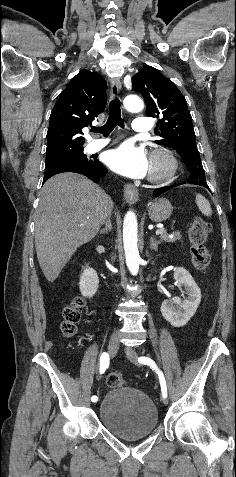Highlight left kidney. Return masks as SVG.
<instances>
[{
    "mask_svg": "<svg viewBox=\"0 0 236 477\" xmlns=\"http://www.w3.org/2000/svg\"><path fill=\"white\" fill-rule=\"evenodd\" d=\"M174 278L184 286L188 297L183 301L179 297L164 300L161 313L172 326L182 327L196 313L201 302V291L190 273L182 267L174 269Z\"/></svg>",
    "mask_w": 236,
    "mask_h": 477,
    "instance_id": "obj_1",
    "label": "left kidney"
}]
</instances>
